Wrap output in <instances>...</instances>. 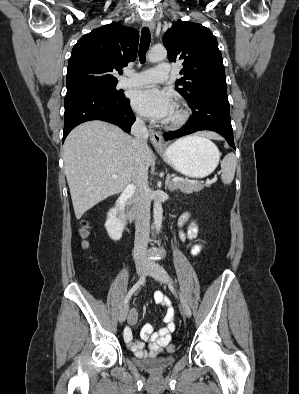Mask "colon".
<instances>
[{"label": "colon", "mask_w": 299, "mask_h": 394, "mask_svg": "<svg viewBox=\"0 0 299 394\" xmlns=\"http://www.w3.org/2000/svg\"><path fill=\"white\" fill-rule=\"evenodd\" d=\"M82 234L86 235L87 234V226L85 225L82 229ZM175 349V347L173 345L169 346V350L173 351Z\"/></svg>", "instance_id": "colon-1"}]
</instances>
